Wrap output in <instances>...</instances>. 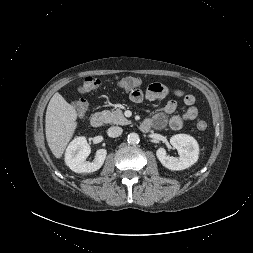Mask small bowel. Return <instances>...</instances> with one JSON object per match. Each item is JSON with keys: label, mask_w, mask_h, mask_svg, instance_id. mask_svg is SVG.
I'll list each match as a JSON object with an SVG mask.
<instances>
[{"label": "small bowel", "mask_w": 253, "mask_h": 253, "mask_svg": "<svg viewBox=\"0 0 253 253\" xmlns=\"http://www.w3.org/2000/svg\"><path fill=\"white\" fill-rule=\"evenodd\" d=\"M170 93H173L174 95L183 99V102L186 106L184 113L181 115H172L170 118H168V115L173 114L177 108L176 101L171 99L165 103L162 112L155 114L146 121L150 122L151 127L156 129H161L169 124L173 130H179L186 121L194 120L198 115V110L195 106V97L193 95L186 94L179 90H171L168 86L161 83H152L145 91H142L138 88L131 90L130 99L135 103H140L145 99L153 101L156 99L165 98Z\"/></svg>", "instance_id": "obj_1"}]
</instances>
